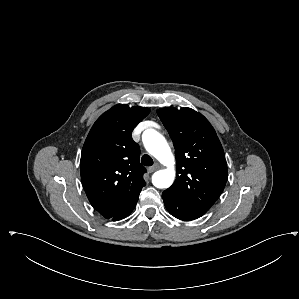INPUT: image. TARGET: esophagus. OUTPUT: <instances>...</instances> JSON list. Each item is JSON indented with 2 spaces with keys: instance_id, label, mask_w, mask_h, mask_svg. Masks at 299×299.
Returning a JSON list of instances; mask_svg holds the SVG:
<instances>
[{
  "instance_id": "34e87169",
  "label": "esophagus",
  "mask_w": 299,
  "mask_h": 299,
  "mask_svg": "<svg viewBox=\"0 0 299 299\" xmlns=\"http://www.w3.org/2000/svg\"><path fill=\"white\" fill-rule=\"evenodd\" d=\"M160 168V165L156 163L154 166L148 168L149 173H153L154 171L158 170Z\"/></svg>"
}]
</instances>
